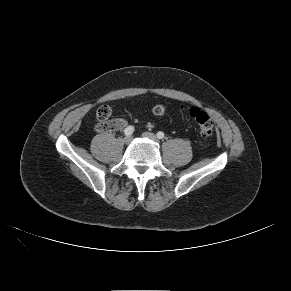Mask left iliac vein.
Returning <instances> with one entry per match:
<instances>
[{
  "instance_id": "left-iliac-vein-1",
  "label": "left iliac vein",
  "mask_w": 291,
  "mask_h": 291,
  "mask_svg": "<svg viewBox=\"0 0 291 291\" xmlns=\"http://www.w3.org/2000/svg\"><path fill=\"white\" fill-rule=\"evenodd\" d=\"M142 136H143L144 138H148V139H150V140H152V141H158L157 137H156L153 133H150V132H144V133L142 134Z\"/></svg>"
}]
</instances>
